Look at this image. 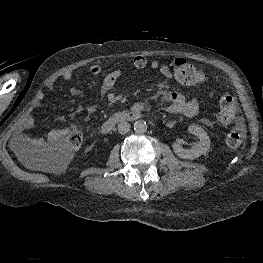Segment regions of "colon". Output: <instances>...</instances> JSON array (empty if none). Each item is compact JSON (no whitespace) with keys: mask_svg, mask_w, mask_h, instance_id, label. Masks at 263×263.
I'll use <instances>...</instances> for the list:
<instances>
[{"mask_svg":"<svg viewBox=\"0 0 263 263\" xmlns=\"http://www.w3.org/2000/svg\"><path fill=\"white\" fill-rule=\"evenodd\" d=\"M174 78L184 86H196L205 82L204 73L182 58H177L173 63ZM218 121L222 125H229L236 115V102L228 95H220ZM244 135L240 130L230 131L225 139L226 145L231 149L242 146ZM66 146H59L51 153V158L57 164H64L68 159L69 151L78 149L83 142V135L79 130H71L66 137Z\"/></svg>","mask_w":263,"mask_h":263,"instance_id":"colon-1","label":"colon"}]
</instances>
